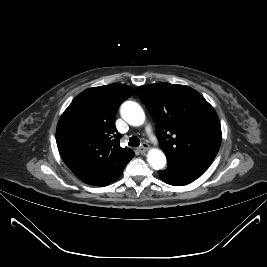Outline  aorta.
<instances>
[{
    "label": "aorta",
    "instance_id": "obj_1",
    "mask_svg": "<svg viewBox=\"0 0 267 267\" xmlns=\"http://www.w3.org/2000/svg\"><path fill=\"white\" fill-rule=\"evenodd\" d=\"M120 113L122 118L132 126H140L145 121V113L142 107L134 101H126L121 105ZM149 165L160 170L166 165V157L159 149H150L147 154Z\"/></svg>",
    "mask_w": 267,
    "mask_h": 267
}]
</instances>
